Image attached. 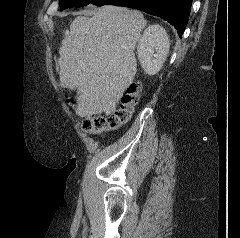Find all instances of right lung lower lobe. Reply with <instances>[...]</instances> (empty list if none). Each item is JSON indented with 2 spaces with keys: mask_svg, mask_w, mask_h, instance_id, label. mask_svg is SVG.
<instances>
[{
  "mask_svg": "<svg viewBox=\"0 0 240 238\" xmlns=\"http://www.w3.org/2000/svg\"><path fill=\"white\" fill-rule=\"evenodd\" d=\"M108 4L138 9L161 17L170 22L182 37L189 19L192 0H110L104 3Z\"/></svg>",
  "mask_w": 240,
  "mask_h": 238,
  "instance_id": "98d812e1",
  "label": "right lung lower lobe"
}]
</instances>
